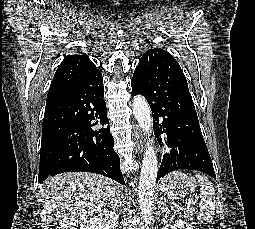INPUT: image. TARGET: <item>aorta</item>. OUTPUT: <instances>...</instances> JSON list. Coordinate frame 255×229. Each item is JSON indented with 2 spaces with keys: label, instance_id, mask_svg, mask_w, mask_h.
Segmentation results:
<instances>
[{
  "label": "aorta",
  "instance_id": "obj_1",
  "mask_svg": "<svg viewBox=\"0 0 255 229\" xmlns=\"http://www.w3.org/2000/svg\"><path fill=\"white\" fill-rule=\"evenodd\" d=\"M134 116L146 135L152 131V117L148 102L143 96H136L133 100ZM158 172V160L153 146V141L145 146L138 186L139 211L145 222L151 224L153 221L152 205L153 192Z\"/></svg>",
  "mask_w": 255,
  "mask_h": 229
}]
</instances>
